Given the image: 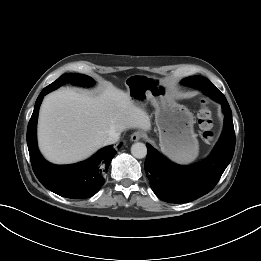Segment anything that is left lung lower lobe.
I'll list each match as a JSON object with an SVG mask.
<instances>
[{"instance_id":"0a47b994","label":"left lung lower lobe","mask_w":261,"mask_h":261,"mask_svg":"<svg viewBox=\"0 0 261 261\" xmlns=\"http://www.w3.org/2000/svg\"><path fill=\"white\" fill-rule=\"evenodd\" d=\"M196 82L198 89L222 105L224 130L209 157L192 166L176 165L147 144L144 167L150 186L158 198L169 203L190 202L210 192L234 154L232 112L225 96L206 78Z\"/></svg>"}]
</instances>
